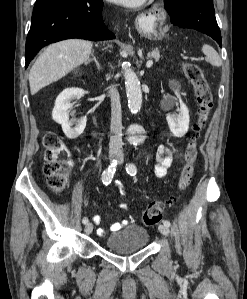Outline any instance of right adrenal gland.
<instances>
[{
  "label": "right adrenal gland",
  "mask_w": 247,
  "mask_h": 299,
  "mask_svg": "<svg viewBox=\"0 0 247 299\" xmlns=\"http://www.w3.org/2000/svg\"><path fill=\"white\" fill-rule=\"evenodd\" d=\"M91 56H92V58L88 60V63L95 62L97 69L100 71L101 70V66H100V63H99L98 59L96 58L95 53L93 52L91 54Z\"/></svg>",
  "instance_id": "obj_1"
}]
</instances>
